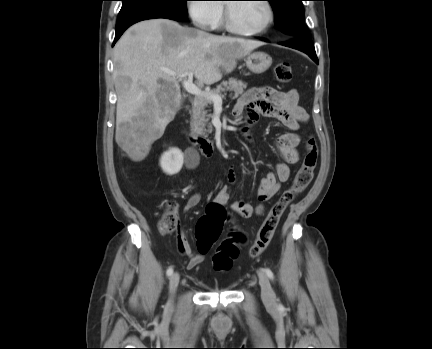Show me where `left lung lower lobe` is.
I'll return each instance as SVG.
<instances>
[{
    "label": "left lung lower lobe",
    "instance_id": "1",
    "mask_svg": "<svg viewBox=\"0 0 432 349\" xmlns=\"http://www.w3.org/2000/svg\"><path fill=\"white\" fill-rule=\"evenodd\" d=\"M280 44L308 54L318 64V59L311 38L291 37L290 41Z\"/></svg>",
    "mask_w": 432,
    "mask_h": 349
}]
</instances>
